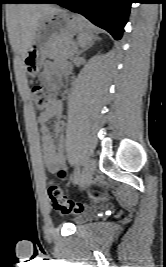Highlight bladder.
<instances>
[{"label": "bladder", "instance_id": "bladder-1", "mask_svg": "<svg viewBox=\"0 0 166 267\" xmlns=\"http://www.w3.org/2000/svg\"><path fill=\"white\" fill-rule=\"evenodd\" d=\"M92 213H83L79 215L78 217L75 218V223L76 224H81L84 223L92 218Z\"/></svg>", "mask_w": 166, "mask_h": 267}]
</instances>
